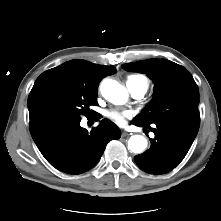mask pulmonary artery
<instances>
[{"label": "pulmonary artery", "instance_id": "e3ab8cb5", "mask_svg": "<svg viewBox=\"0 0 221 221\" xmlns=\"http://www.w3.org/2000/svg\"><path fill=\"white\" fill-rule=\"evenodd\" d=\"M127 87L131 92L132 96L136 99L143 98L144 94L146 93V88L141 85L127 83Z\"/></svg>", "mask_w": 221, "mask_h": 221}]
</instances>
